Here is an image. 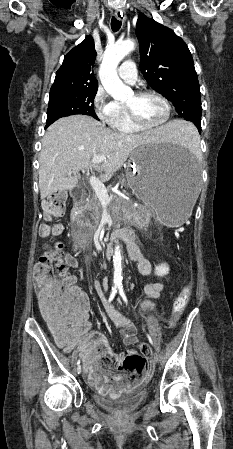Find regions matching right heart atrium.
Listing matches in <instances>:
<instances>
[{
	"label": "right heart atrium",
	"instance_id": "1",
	"mask_svg": "<svg viewBox=\"0 0 233 449\" xmlns=\"http://www.w3.org/2000/svg\"><path fill=\"white\" fill-rule=\"evenodd\" d=\"M93 107L101 121L110 122L116 112V103L109 99L106 90L99 86L93 97Z\"/></svg>",
	"mask_w": 233,
	"mask_h": 449
}]
</instances>
